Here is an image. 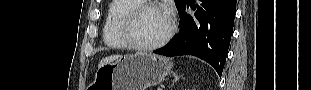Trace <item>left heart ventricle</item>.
<instances>
[{
	"label": "left heart ventricle",
	"mask_w": 311,
	"mask_h": 90,
	"mask_svg": "<svg viewBox=\"0 0 311 90\" xmlns=\"http://www.w3.org/2000/svg\"><path fill=\"white\" fill-rule=\"evenodd\" d=\"M169 18L166 12L151 9L143 12L134 29L137 41L141 44H152L160 40L168 31Z\"/></svg>",
	"instance_id": "1"
}]
</instances>
